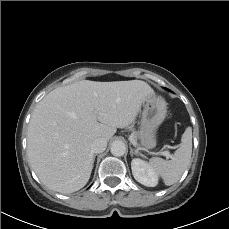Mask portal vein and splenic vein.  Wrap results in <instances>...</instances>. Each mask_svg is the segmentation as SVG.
Returning a JSON list of instances; mask_svg holds the SVG:
<instances>
[{
  "label": "portal vein and splenic vein",
  "instance_id": "18ae733b",
  "mask_svg": "<svg viewBox=\"0 0 229 229\" xmlns=\"http://www.w3.org/2000/svg\"><path fill=\"white\" fill-rule=\"evenodd\" d=\"M131 142L134 144V141L132 139H131ZM155 154L163 155L167 159L171 158V154L168 151H162V152H158V153H155Z\"/></svg>",
  "mask_w": 229,
  "mask_h": 229
}]
</instances>
